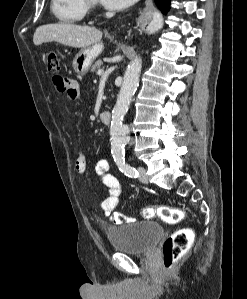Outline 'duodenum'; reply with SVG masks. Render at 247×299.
I'll use <instances>...</instances> for the list:
<instances>
[{"mask_svg": "<svg viewBox=\"0 0 247 299\" xmlns=\"http://www.w3.org/2000/svg\"><path fill=\"white\" fill-rule=\"evenodd\" d=\"M100 119L101 121L104 123V124H107L109 125L110 122H111V113L109 111H103L101 114H100Z\"/></svg>", "mask_w": 247, "mask_h": 299, "instance_id": "obj_1", "label": "duodenum"}]
</instances>
